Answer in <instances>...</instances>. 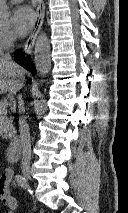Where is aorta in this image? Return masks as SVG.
<instances>
[{
	"instance_id": "1",
	"label": "aorta",
	"mask_w": 128,
	"mask_h": 213,
	"mask_svg": "<svg viewBox=\"0 0 128 213\" xmlns=\"http://www.w3.org/2000/svg\"><path fill=\"white\" fill-rule=\"evenodd\" d=\"M8 22L9 12L6 0H0V27L7 25ZM34 55L36 70L40 76L45 77L51 69V48L46 34L42 33L38 36L35 43Z\"/></svg>"
}]
</instances>
